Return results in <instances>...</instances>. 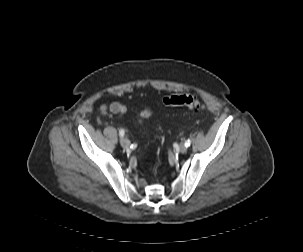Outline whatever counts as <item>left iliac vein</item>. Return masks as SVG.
<instances>
[{
  "label": "left iliac vein",
  "instance_id": "left-iliac-vein-1",
  "mask_svg": "<svg viewBox=\"0 0 303 252\" xmlns=\"http://www.w3.org/2000/svg\"><path fill=\"white\" fill-rule=\"evenodd\" d=\"M179 151H180L181 153H186L187 147L185 146V144H180V146H179Z\"/></svg>",
  "mask_w": 303,
  "mask_h": 252
}]
</instances>
